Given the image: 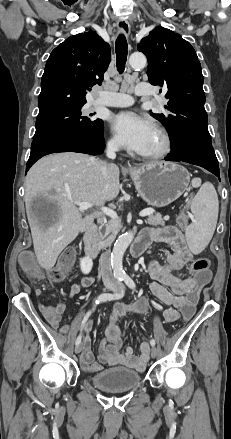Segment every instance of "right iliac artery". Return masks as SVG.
Listing matches in <instances>:
<instances>
[{
    "label": "right iliac artery",
    "mask_w": 231,
    "mask_h": 439,
    "mask_svg": "<svg viewBox=\"0 0 231 439\" xmlns=\"http://www.w3.org/2000/svg\"><path fill=\"white\" fill-rule=\"evenodd\" d=\"M122 280H123V279H119L118 282L121 283ZM123 296H124V290H123V288L121 287V291H120L119 293H114V294H111V293H103V294H100V295L98 296V298L96 299L95 303H96V304H99V303L106 302V301H111V300H115V299H120V298H122ZM90 314H91V311H88L87 314L85 315V317H84V319H83V321H82V326H81L82 328L84 327L85 323L87 322V320H88ZM80 342H81V333H80V335L77 337L75 344L78 345Z\"/></svg>",
    "instance_id": "right-iliac-artery-1"
}]
</instances>
